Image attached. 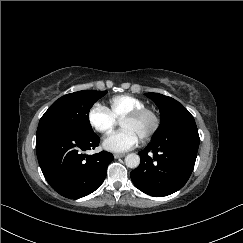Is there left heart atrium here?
<instances>
[{
  "label": "left heart atrium",
  "instance_id": "39dd6f15",
  "mask_svg": "<svg viewBox=\"0 0 243 243\" xmlns=\"http://www.w3.org/2000/svg\"><path fill=\"white\" fill-rule=\"evenodd\" d=\"M137 135L130 129L122 128L110 133L103 141L106 150L122 153L133 149L138 143Z\"/></svg>",
  "mask_w": 243,
  "mask_h": 243
}]
</instances>
